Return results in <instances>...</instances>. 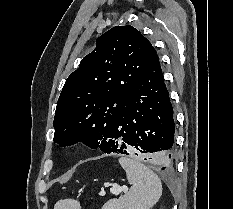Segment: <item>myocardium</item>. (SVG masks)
<instances>
[{
  "label": "myocardium",
  "mask_w": 233,
  "mask_h": 209,
  "mask_svg": "<svg viewBox=\"0 0 233 209\" xmlns=\"http://www.w3.org/2000/svg\"><path fill=\"white\" fill-rule=\"evenodd\" d=\"M78 147V144L77 143H74L73 145H72V148L73 149H76Z\"/></svg>",
  "instance_id": "1"
}]
</instances>
